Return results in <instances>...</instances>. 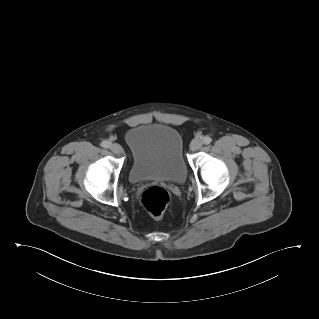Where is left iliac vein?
<instances>
[{"label":"left iliac vein","instance_id":"1","mask_svg":"<svg viewBox=\"0 0 319 319\" xmlns=\"http://www.w3.org/2000/svg\"><path fill=\"white\" fill-rule=\"evenodd\" d=\"M202 145H203L202 140L199 138H196V139L192 140V142L190 144V149L192 151H197L202 147Z\"/></svg>","mask_w":319,"mask_h":319}]
</instances>
